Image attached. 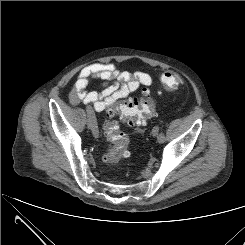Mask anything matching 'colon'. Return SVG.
<instances>
[{
    "label": "colon",
    "instance_id": "5ec220e1",
    "mask_svg": "<svg viewBox=\"0 0 245 245\" xmlns=\"http://www.w3.org/2000/svg\"><path fill=\"white\" fill-rule=\"evenodd\" d=\"M161 83L168 90L176 89L180 84V76L174 71H166L161 76ZM155 114V107L150 90L143 89L139 97L122 100L107 111L106 134L112 141V146L103 155L106 163L115 162L129 156V139L120 131L119 124L113 118L120 116L129 126L141 128Z\"/></svg>",
    "mask_w": 245,
    "mask_h": 245
}]
</instances>
